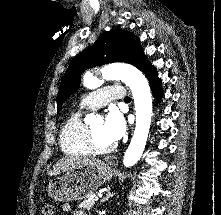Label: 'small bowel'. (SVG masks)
I'll return each instance as SVG.
<instances>
[{
  "mask_svg": "<svg viewBox=\"0 0 221 215\" xmlns=\"http://www.w3.org/2000/svg\"><path fill=\"white\" fill-rule=\"evenodd\" d=\"M62 210L65 213H69L71 211V205L68 204V203L63 204L62 205ZM74 215H86V214L82 211H79V212H76Z\"/></svg>",
  "mask_w": 221,
  "mask_h": 215,
  "instance_id": "obj_1",
  "label": "small bowel"
}]
</instances>
